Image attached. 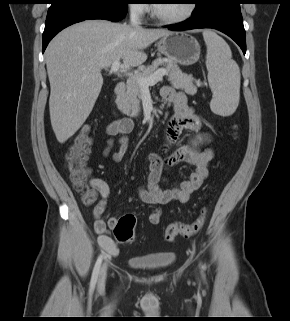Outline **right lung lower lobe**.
<instances>
[{"mask_svg": "<svg viewBox=\"0 0 290 321\" xmlns=\"http://www.w3.org/2000/svg\"><path fill=\"white\" fill-rule=\"evenodd\" d=\"M127 10V5L90 6L77 3L52 4L47 13L43 32V52L50 40L67 26L90 19H105L117 22L125 17Z\"/></svg>", "mask_w": 290, "mask_h": 321, "instance_id": "right-lung-lower-lobe-1", "label": "right lung lower lobe"}]
</instances>
